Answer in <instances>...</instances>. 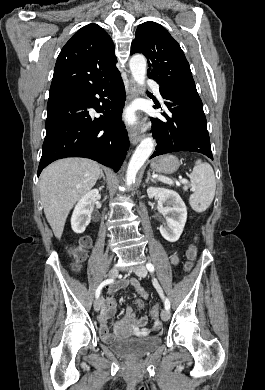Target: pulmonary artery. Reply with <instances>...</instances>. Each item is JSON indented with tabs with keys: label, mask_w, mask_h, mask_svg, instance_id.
<instances>
[{
	"label": "pulmonary artery",
	"mask_w": 265,
	"mask_h": 390,
	"mask_svg": "<svg viewBox=\"0 0 265 390\" xmlns=\"http://www.w3.org/2000/svg\"><path fill=\"white\" fill-rule=\"evenodd\" d=\"M147 83L154 90V92L157 95H160V93H159V84L157 82H155L153 80H148Z\"/></svg>",
	"instance_id": "obj_1"
}]
</instances>
